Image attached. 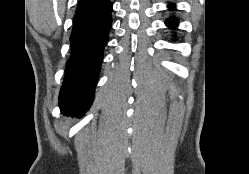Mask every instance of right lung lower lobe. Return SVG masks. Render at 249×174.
Returning a JSON list of instances; mask_svg holds the SVG:
<instances>
[{
    "mask_svg": "<svg viewBox=\"0 0 249 174\" xmlns=\"http://www.w3.org/2000/svg\"><path fill=\"white\" fill-rule=\"evenodd\" d=\"M110 0L78 6L70 36L71 57L59 95L60 109L81 117L91 106L112 24Z\"/></svg>",
    "mask_w": 249,
    "mask_h": 174,
    "instance_id": "1",
    "label": "right lung lower lobe"
}]
</instances>
